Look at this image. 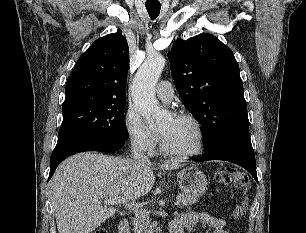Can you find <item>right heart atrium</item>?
Returning a JSON list of instances; mask_svg holds the SVG:
<instances>
[{
    "label": "right heart atrium",
    "mask_w": 306,
    "mask_h": 233,
    "mask_svg": "<svg viewBox=\"0 0 306 233\" xmlns=\"http://www.w3.org/2000/svg\"><path fill=\"white\" fill-rule=\"evenodd\" d=\"M125 131L133 149L146 154H154L159 144V136L146 124L142 115L130 109L124 121Z\"/></svg>",
    "instance_id": "obj_1"
}]
</instances>
